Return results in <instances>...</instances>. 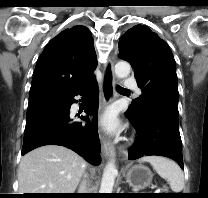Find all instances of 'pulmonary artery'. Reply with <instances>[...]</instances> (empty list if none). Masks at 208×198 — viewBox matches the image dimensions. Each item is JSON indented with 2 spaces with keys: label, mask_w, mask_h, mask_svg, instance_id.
Here are the masks:
<instances>
[{
  "label": "pulmonary artery",
  "mask_w": 208,
  "mask_h": 198,
  "mask_svg": "<svg viewBox=\"0 0 208 198\" xmlns=\"http://www.w3.org/2000/svg\"><path fill=\"white\" fill-rule=\"evenodd\" d=\"M124 85L128 89H133L135 90L138 94L140 93V89L138 88L136 82L132 78H127L124 82Z\"/></svg>",
  "instance_id": "obj_1"
}]
</instances>
